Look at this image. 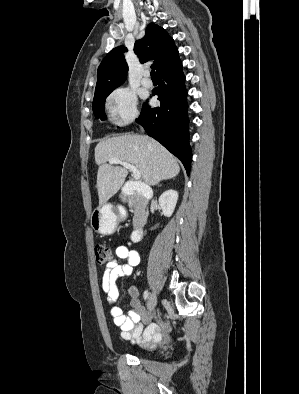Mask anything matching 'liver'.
I'll return each mask as SVG.
<instances>
[{"instance_id":"1","label":"liver","mask_w":299,"mask_h":394,"mask_svg":"<svg viewBox=\"0 0 299 394\" xmlns=\"http://www.w3.org/2000/svg\"><path fill=\"white\" fill-rule=\"evenodd\" d=\"M118 158L134 165L148 185L178 175V160L155 139L146 135H121L108 138L95 147L97 190L99 204H105L122 187L128 171L124 167L108 164L109 159Z\"/></svg>"}]
</instances>
